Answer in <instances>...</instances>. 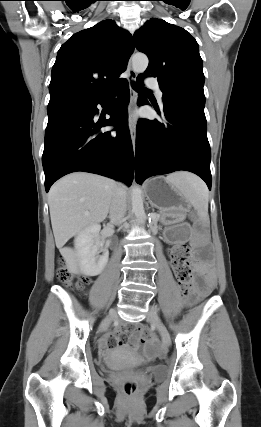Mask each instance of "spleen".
<instances>
[{"mask_svg": "<svg viewBox=\"0 0 261 427\" xmlns=\"http://www.w3.org/2000/svg\"><path fill=\"white\" fill-rule=\"evenodd\" d=\"M167 179L177 185L183 196L197 211L202 222L208 224L209 194L205 183L197 176L187 172L169 175Z\"/></svg>", "mask_w": 261, "mask_h": 427, "instance_id": "3e777b00", "label": "spleen"}]
</instances>
